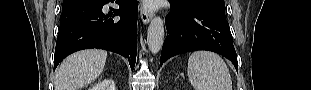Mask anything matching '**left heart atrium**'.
Wrapping results in <instances>:
<instances>
[{
    "label": "left heart atrium",
    "instance_id": "left-heart-atrium-1",
    "mask_svg": "<svg viewBox=\"0 0 311 90\" xmlns=\"http://www.w3.org/2000/svg\"><path fill=\"white\" fill-rule=\"evenodd\" d=\"M148 7H149V8H151V7H152V5H151V4H149V5H148Z\"/></svg>",
    "mask_w": 311,
    "mask_h": 90
}]
</instances>
